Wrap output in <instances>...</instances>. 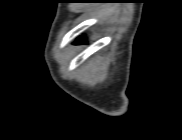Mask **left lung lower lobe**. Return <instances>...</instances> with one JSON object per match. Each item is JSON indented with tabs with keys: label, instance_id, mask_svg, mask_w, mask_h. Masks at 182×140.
Returning <instances> with one entry per match:
<instances>
[{
	"label": "left lung lower lobe",
	"instance_id": "1",
	"mask_svg": "<svg viewBox=\"0 0 182 140\" xmlns=\"http://www.w3.org/2000/svg\"><path fill=\"white\" fill-rule=\"evenodd\" d=\"M79 40H81L82 42L85 40L84 37H80Z\"/></svg>",
	"mask_w": 182,
	"mask_h": 140
}]
</instances>
